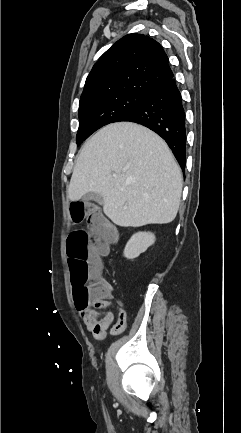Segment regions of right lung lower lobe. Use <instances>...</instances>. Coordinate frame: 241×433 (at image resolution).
I'll return each instance as SVG.
<instances>
[{"label":"right lung lower lobe","instance_id":"98d812e1","mask_svg":"<svg viewBox=\"0 0 241 433\" xmlns=\"http://www.w3.org/2000/svg\"><path fill=\"white\" fill-rule=\"evenodd\" d=\"M121 121L141 124L156 132L169 145L182 170L186 161V120L180 91L174 77L146 92L143 103Z\"/></svg>","mask_w":241,"mask_h":433}]
</instances>
